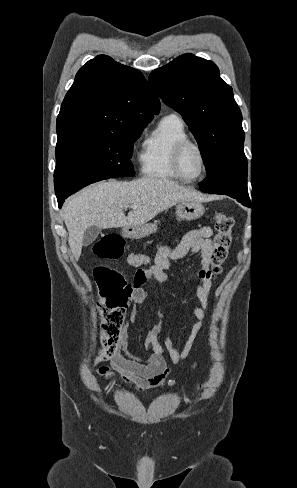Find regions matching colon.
<instances>
[{
	"mask_svg": "<svg viewBox=\"0 0 297 488\" xmlns=\"http://www.w3.org/2000/svg\"><path fill=\"white\" fill-rule=\"evenodd\" d=\"M215 236L210 256L213 277L221 272L232 244L234 219L222 212L213 217ZM94 253L101 259L115 260L123 255V238L118 234H107L94 245ZM94 276L99 285V309L101 311L102 336L99 359L113 356L119 347L123 334L125 311L130 303L133 289L145 282V269L139 268L132 282H127L123 274L107 265L99 264L94 268Z\"/></svg>",
	"mask_w": 297,
	"mask_h": 488,
	"instance_id": "1",
	"label": "colon"
}]
</instances>
